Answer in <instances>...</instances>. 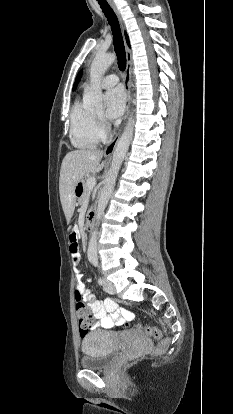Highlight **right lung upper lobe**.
Listing matches in <instances>:
<instances>
[{"instance_id":"right-lung-upper-lobe-1","label":"right lung upper lobe","mask_w":233,"mask_h":414,"mask_svg":"<svg viewBox=\"0 0 233 414\" xmlns=\"http://www.w3.org/2000/svg\"><path fill=\"white\" fill-rule=\"evenodd\" d=\"M125 36H126L127 43H128V45H129V40H128V36H127V34H125Z\"/></svg>"}]
</instances>
